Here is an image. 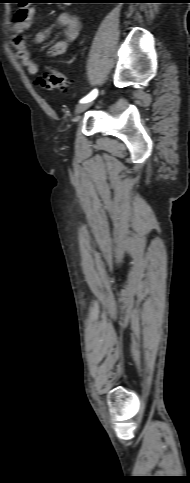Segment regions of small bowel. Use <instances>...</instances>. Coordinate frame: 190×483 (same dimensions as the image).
I'll use <instances>...</instances> for the list:
<instances>
[{"label":"small bowel","mask_w":190,"mask_h":483,"mask_svg":"<svg viewBox=\"0 0 190 483\" xmlns=\"http://www.w3.org/2000/svg\"><path fill=\"white\" fill-rule=\"evenodd\" d=\"M33 8L29 6H20L15 12L13 19V30L11 42L15 48V56L17 60L24 66L30 75L38 73V64L26 46L24 40V32L31 26ZM58 23L64 28L63 39L55 42L46 52L47 57H58L63 55L69 45L76 40L80 33L81 22L79 18L71 11H63L58 16ZM49 37V31L41 30L35 33L33 42L35 44H43Z\"/></svg>","instance_id":"1"}]
</instances>
